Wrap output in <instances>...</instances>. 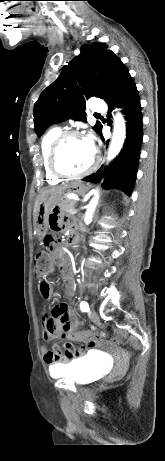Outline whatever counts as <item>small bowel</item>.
Here are the masks:
<instances>
[{"instance_id": "c3829d8e", "label": "small bowel", "mask_w": 165, "mask_h": 461, "mask_svg": "<svg viewBox=\"0 0 165 461\" xmlns=\"http://www.w3.org/2000/svg\"><path fill=\"white\" fill-rule=\"evenodd\" d=\"M63 206L61 204H54L51 208L53 214H48L49 222H60L61 211ZM73 214H62V221L66 222L71 228L74 227ZM64 252L62 247H56L54 254L61 257ZM62 271V281L65 293L68 297L74 294V287L69 274L65 270L64 263H60ZM39 291L43 299L51 300L55 295L53 284L47 280H43L39 284ZM59 307L58 315H54L53 310ZM79 322L75 317L70 306L66 302H62L54 306L50 315H44L42 318V337L45 341H52L57 338H67L77 342L87 341V336L91 333L79 331ZM44 361L49 365L51 371L55 375H60L63 363L72 359V354L62 350L61 346L55 344L51 349L43 350Z\"/></svg>"}]
</instances>
